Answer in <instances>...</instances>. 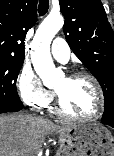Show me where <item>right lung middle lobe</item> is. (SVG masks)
<instances>
[{
  "label": "right lung middle lobe",
  "instance_id": "obj_1",
  "mask_svg": "<svg viewBox=\"0 0 114 156\" xmlns=\"http://www.w3.org/2000/svg\"><path fill=\"white\" fill-rule=\"evenodd\" d=\"M24 59L0 58V104L23 106L17 90L16 80Z\"/></svg>",
  "mask_w": 114,
  "mask_h": 156
}]
</instances>
